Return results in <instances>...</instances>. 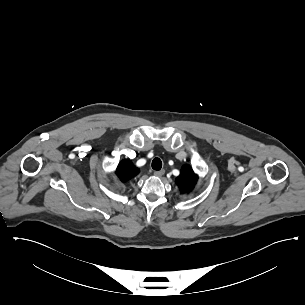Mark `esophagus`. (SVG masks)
Segmentation results:
<instances>
[{
	"label": "esophagus",
	"mask_w": 305,
	"mask_h": 305,
	"mask_svg": "<svg viewBox=\"0 0 305 305\" xmlns=\"http://www.w3.org/2000/svg\"><path fill=\"white\" fill-rule=\"evenodd\" d=\"M164 173H165V170L162 169V170H160V171H155V172H154V175H155L156 177H161V176L164 175Z\"/></svg>",
	"instance_id": "esophagus-1"
}]
</instances>
